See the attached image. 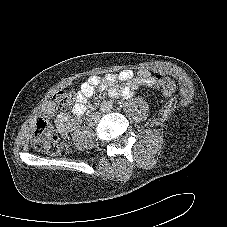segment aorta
I'll return each mask as SVG.
<instances>
[{
	"mask_svg": "<svg viewBox=\"0 0 227 227\" xmlns=\"http://www.w3.org/2000/svg\"><path fill=\"white\" fill-rule=\"evenodd\" d=\"M108 109H109V107H108V106H107V107H105V111H103V112H106Z\"/></svg>",
	"mask_w": 227,
	"mask_h": 227,
	"instance_id": "aorta-1",
	"label": "aorta"
}]
</instances>
